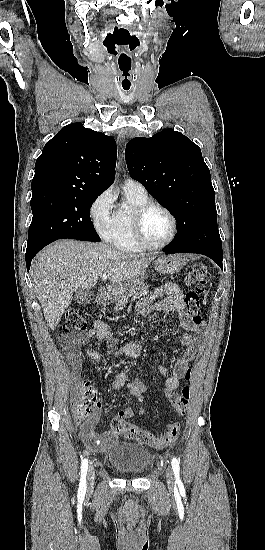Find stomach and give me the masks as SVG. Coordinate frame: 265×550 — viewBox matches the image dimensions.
Listing matches in <instances>:
<instances>
[{"instance_id":"1","label":"stomach","mask_w":265,"mask_h":550,"mask_svg":"<svg viewBox=\"0 0 265 550\" xmlns=\"http://www.w3.org/2000/svg\"><path fill=\"white\" fill-rule=\"evenodd\" d=\"M155 270L160 274H174L179 272L185 265V260L178 255L159 256L155 262ZM143 279V276L138 277L134 281L130 282L127 289L124 292L129 291L130 288L138 285L139 281Z\"/></svg>"}]
</instances>
